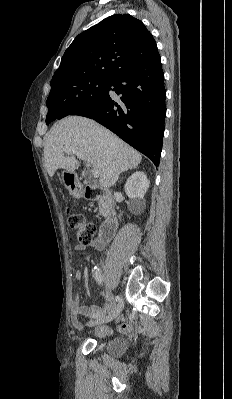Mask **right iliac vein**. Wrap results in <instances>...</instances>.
Returning <instances> with one entry per match:
<instances>
[{
	"label": "right iliac vein",
	"mask_w": 232,
	"mask_h": 399,
	"mask_svg": "<svg viewBox=\"0 0 232 399\" xmlns=\"http://www.w3.org/2000/svg\"><path fill=\"white\" fill-rule=\"evenodd\" d=\"M125 304H126L125 300H120L118 302L117 308L115 309V311L111 315L112 319H117L118 318V316L120 315L122 310H124ZM100 322H110V319H107V316H102L98 320L86 322V325L97 326V325H100Z\"/></svg>",
	"instance_id": "right-iliac-vein-1"
}]
</instances>
